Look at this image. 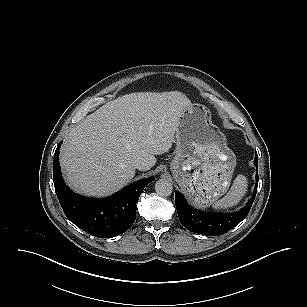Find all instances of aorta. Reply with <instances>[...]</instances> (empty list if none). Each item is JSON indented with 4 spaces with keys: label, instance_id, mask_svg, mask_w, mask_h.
Wrapping results in <instances>:
<instances>
[{
    "label": "aorta",
    "instance_id": "aorta-1",
    "mask_svg": "<svg viewBox=\"0 0 307 307\" xmlns=\"http://www.w3.org/2000/svg\"><path fill=\"white\" fill-rule=\"evenodd\" d=\"M155 191L160 196H169L173 191L172 183L167 179H159L155 183Z\"/></svg>",
    "mask_w": 307,
    "mask_h": 307
}]
</instances>
